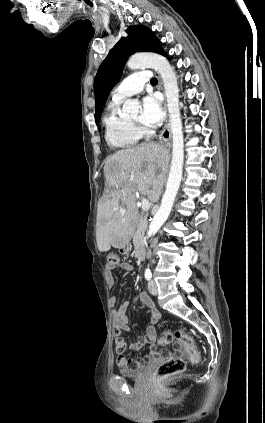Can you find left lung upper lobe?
Wrapping results in <instances>:
<instances>
[{
	"label": "left lung upper lobe",
	"instance_id": "obj_1",
	"mask_svg": "<svg viewBox=\"0 0 265 423\" xmlns=\"http://www.w3.org/2000/svg\"><path fill=\"white\" fill-rule=\"evenodd\" d=\"M128 36L122 37L102 62L94 81L95 121L99 122L103 106L112 88L122 75L128 57L135 52H155L164 55L160 41L145 26H129Z\"/></svg>",
	"mask_w": 265,
	"mask_h": 423
}]
</instances>
